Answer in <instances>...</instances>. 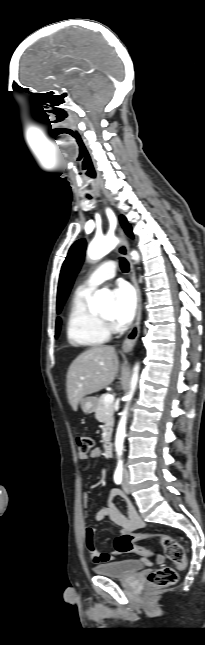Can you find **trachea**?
Instances as JSON below:
<instances>
[{
    "label": "trachea",
    "mask_w": 205,
    "mask_h": 645,
    "mask_svg": "<svg viewBox=\"0 0 205 645\" xmlns=\"http://www.w3.org/2000/svg\"><path fill=\"white\" fill-rule=\"evenodd\" d=\"M89 199H90V197H89ZM120 267H121V270H122L124 273H126V272H128V271H129V263H128V261H127L125 258H121V259H120Z\"/></svg>",
    "instance_id": "obj_1"
}]
</instances>
